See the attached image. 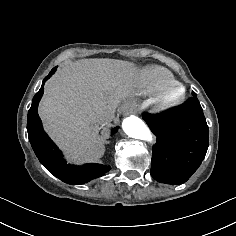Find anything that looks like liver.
I'll use <instances>...</instances> for the list:
<instances>
[{"mask_svg": "<svg viewBox=\"0 0 236 236\" xmlns=\"http://www.w3.org/2000/svg\"><path fill=\"white\" fill-rule=\"evenodd\" d=\"M132 63L83 59L59 69L45 84L39 116L67 159L97 162L104 155L103 114L114 113L130 93Z\"/></svg>", "mask_w": 236, "mask_h": 236, "instance_id": "1", "label": "liver"}]
</instances>
